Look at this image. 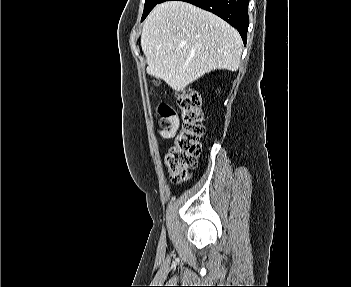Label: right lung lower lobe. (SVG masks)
Returning <instances> with one entry per match:
<instances>
[{
	"mask_svg": "<svg viewBox=\"0 0 351 287\" xmlns=\"http://www.w3.org/2000/svg\"><path fill=\"white\" fill-rule=\"evenodd\" d=\"M169 1L160 0L159 3ZM191 3L204 10L214 13L232 26L240 33L244 44L248 31V3L249 0H180Z\"/></svg>",
	"mask_w": 351,
	"mask_h": 287,
	"instance_id": "right-lung-lower-lobe-1",
	"label": "right lung lower lobe"
}]
</instances>
